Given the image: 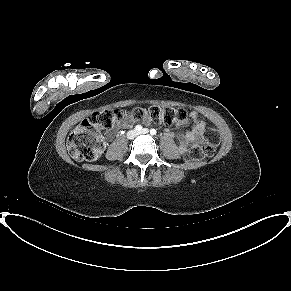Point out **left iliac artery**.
Masks as SVG:
<instances>
[{
	"label": "left iliac artery",
	"instance_id": "obj_1",
	"mask_svg": "<svg viewBox=\"0 0 291 291\" xmlns=\"http://www.w3.org/2000/svg\"><path fill=\"white\" fill-rule=\"evenodd\" d=\"M150 133H151L152 135H156L157 131H156L155 129H151V130H150Z\"/></svg>",
	"mask_w": 291,
	"mask_h": 291
}]
</instances>
